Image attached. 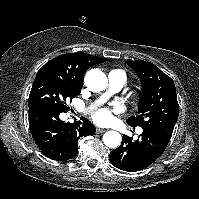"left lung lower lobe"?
Returning a JSON list of instances; mask_svg holds the SVG:
<instances>
[{"label": "left lung lower lobe", "mask_w": 199, "mask_h": 199, "mask_svg": "<svg viewBox=\"0 0 199 199\" xmlns=\"http://www.w3.org/2000/svg\"><path fill=\"white\" fill-rule=\"evenodd\" d=\"M169 141L170 138L151 130H143L136 141L123 135L122 144L109 155L110 163L128 172L143 170L164 152Z\"/></svg>", "instance_id": "left-lung-lower-lobe-1"}]
</instances>
